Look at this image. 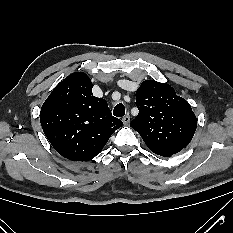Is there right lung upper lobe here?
<instances>
[{"mask_svg":"<svg viewBox=\"0 0 233 233\" xmlns=\"http://www.w3.org/2000/svg\"><path fill=\"white\" fill-rule=\"evenodd\" d=\"M40 122L54 149L73 161L98 155L122 121L107 102L92 94V82L75 72L60 82L42 105Z\"/></svg>","mask_w":233,"mask_h":233,"instance_id":"cb5924a9","label":"right lung upper lobe"}]
</instances>
